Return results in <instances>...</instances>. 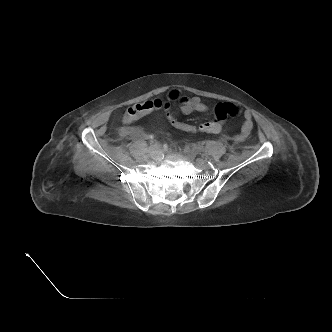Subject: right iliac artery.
Listing matches in <instances>:
<instances>
[{"mask_svg":"<svg viewBox=\"0 0 332 332\" xmlns=\"http://www.w3.org/2000/svg\"><path fill=\"white\" fill-rule=\"evenodd\" d=\"M159 147V144L158 143H151L149 148H148V151L149 152H152L154 151L155 149H157Z\"/></svg>","mask_w":332,"mask_h":332,"instance_id":"1","label":"right iliac artery"}]
</instances>
